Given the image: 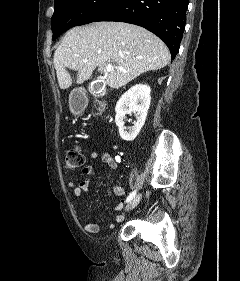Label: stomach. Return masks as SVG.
Returning <instances> with one entry per match:
<instances>
[{"instance_id": "stomach-1", "label": "stomach", "mask_w": 240, "mask_h": 281, "mask_svg": "<svg viewBox=\"0 0 240 281\" xmlns=\"http://www.w3.org/2000/svg\"><path fill=\"white\" fill-rule=\"evenodd\" d=\"M72 94L70 96V108H71L72 112H76L78 110V107H77V105L74 103V101L72 99Z\"/></svg>"}]
</instances>
